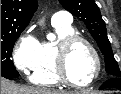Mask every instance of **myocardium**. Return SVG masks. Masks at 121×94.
Here are the masks:
<instances>
[{"instance_id":"myocardium-1","label":"myocardium","mask_w":121,"mask_h":94,"mask_svg":"<svg viewBox=\"0 0 121 94\" xmlns=\"http://www.w3.org/2000/svg\"><path fill=\"white\" fill-rule=\"evenodd\" d=\"M77 42H81L87 46V48L91 51L96 63V72L93 78L90 81L81 84L76 83L71 79L67 65L69 51L71 47ZM55 66L58 79L68 86L77 88L91 86L97 81L102 70V62L98 51L87 38L79 34H71L58 41L55 53Z\"/></svg>"}]
</instances>
